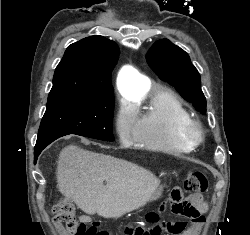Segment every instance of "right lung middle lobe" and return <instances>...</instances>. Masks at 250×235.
Segmentation results:
<instances>
[{
	"label": "right lung middle lobe",
	"mask_w": 250,
	"mask_h": 235,
	"mask_svg": "<svg viewBox=\"0 0 250 235\" xmlns=\"http://www.w3.org/2000/svg\"><path fill=\"white\" fill-rule=\"evenodd\" d=\"M113 92L102 94L70 93L48 98L38 136L64 132L114 141Z\"/></svg>",
	"instance_id": "right-lung-middle-lobe-1"
}]
</instances>
